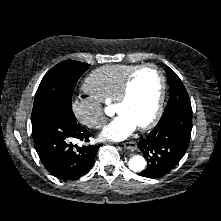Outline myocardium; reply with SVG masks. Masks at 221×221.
<instances>
[{
	"label": "myocardium",
	"mask_w": 221,
	"mask_h": 221,
	"mask_svg": "<svg viewBox=\"0 0 221 221\" xmlns=\"http://www.w3.org/2000/svg\"><path fill=\"white\" fill-rule=\"evenodd\" d=\"M145 69H154L159 74L160 79H161V89H160V94H159V98H158V102H157V106H156V110H155L154 115L152 116V118L148 122L138 126V129L142 130V131L148 130V129L154 127L158 123V121L160 120L163 110H164V103H165L166 90H167V78H166V75L164 74V72L161 70V68L155 64H152V63L137 66L126 77L124 84L122 86L121 92H120L119 96L117 97L116 101L114 102V108H115V107L122 105L123 103H125L127 101V99L130 96V93H131V86H132V82H133L135 76L139 72H141L142 70H145Z\"/></svg>",
	"instance_id": "f54148a6"
}]
</instances>
